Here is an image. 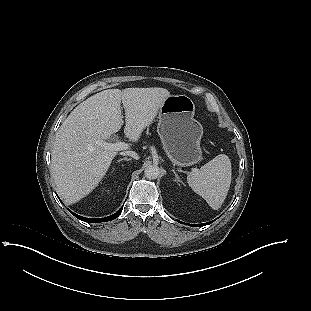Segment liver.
Returning a JSON list of instances; mask_svg holds the SVG:
<instances>
[{
    "label": "liver",
    "mask_w": 311,
    "mask_h": 311,
    "mask_svg": "<svg viewBox=\"0 0 311 311\" xmlns=\"http://www.w3.org/2000/svg\"><path fill=\"white\" fill-rule=\"evenodd\" d=\"M170 95L158 87L108 89L89 97L68 115L56 134L51 158L52 176L67 203L89 194L117 155L101 143L121 129V103L126 115L124 134L136 142Z\"/></svg>",
    "instance_id": "1"
}]
</instances>
